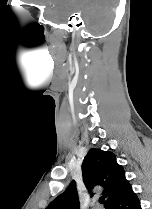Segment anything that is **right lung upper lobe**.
<instances>
[{
	"mask_svg": "<svg viewBox=\"0 0 152 209\" xmlns=\"http://www.w3.org/2000/svg\"><path fill=\"white\" fill-rule=\"evenodd\" d=\"M83 181L89 192L96 186L104 188L107 209L130 186L125 172L110 151L90 149L82 163ZM46 209H79L76 183L72 181L66 191L56 197Z\"/></svg>",
	"mask_w": 152,
	"mask_h": 209,
	"instance_id": "right-lung-upper-lobe-1",
	"label": "right lung upper lobe"
}]
</instances>
